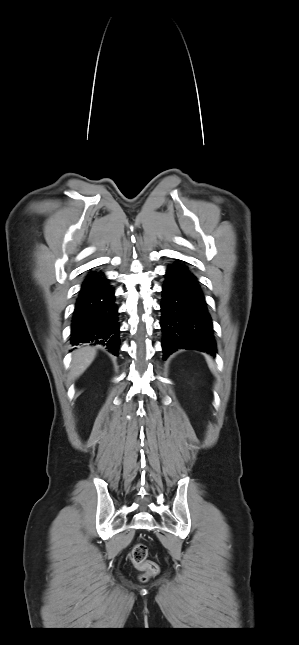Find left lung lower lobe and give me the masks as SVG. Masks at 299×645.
<instances>
[{
    "instance_id": "left-lung-lower-lobe-1",
    "label": "left lung lower lobe",
    "mask_w": 299,
    "mask_h": 645,
    "mask_svg": "<svg viewBox=\"0 0 299 645\" xmlns=\"http://www.w3.org/2000/svg\"><path fill=\"white\" fill-rule=\"evenodd\" d=\"M163 359L178 349L215 354L212 320L196 277L177 262L168 266L162 287Z\"/></svg>"
}]
</instances>
